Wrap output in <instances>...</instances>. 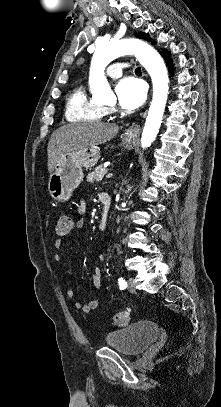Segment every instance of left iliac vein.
Returning <instances> with one entry per match:
<instances>
[{"label":"left iliac vein","mask_w":221,"mask_h":407,"mask_svg":"<svg viewBox=\"0 0 221 407\" xmlns=\"http://www.w3.org/2000/svg\"><path fill=\"white\" fill-rule=\"evenodd\" d=\"M128 291L135 292V284L133 278H129L128 280Z\"/></svg>","instance_id":"obj_1"}]
</instances>
